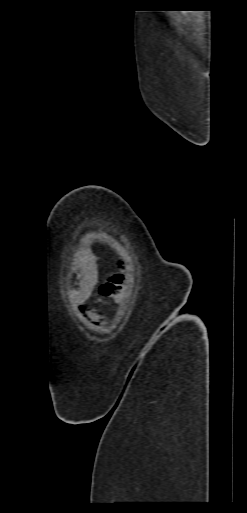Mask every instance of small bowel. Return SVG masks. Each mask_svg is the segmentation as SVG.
<instances>
[{"label": "small bowel", "instance_id": "1", "mask_svg": "<svg viewBox=\"0 0 247 513\" xmlns=\"http://www.w3.org/2000/svg\"><path fill=\"white\" fill-rule=\"evenodd\" d=\"M69 266L73 271L70 298L76 304L82 306L91 297L96 285V265L91 259L83 257H72L69 260ZM81 311L91 321H96L99 325L104 323L103 319L100 317L97 319L91 310L81 307Z\"/></svg>", "mask_w": 247, "mask_h": 513}]
</instances>
